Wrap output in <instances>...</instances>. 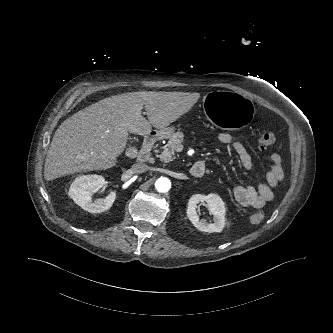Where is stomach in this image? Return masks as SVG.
Instances as JSON below:
<instances>
[{
  "label": "stomach",
  "mask_w": 333,
  "mask_h": 333,
  "mask_svg": "<svg viewBox=\"0 0 333 333\" xmlns=\"http://www.w3.org/2000/svg\"><path fill=\"white\" fill-rule=\"evenodd\" d=\"M206 121L215 129L228 133L244 131L252 122L253 108L244 96L230 91L215 90L206 95L202 103ZM174 126L159 129V134L169 137Z\"/></svg>",
  "instance_id": "1"
}]
</instances>
